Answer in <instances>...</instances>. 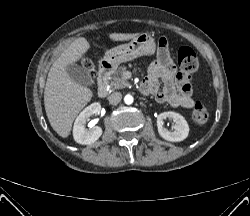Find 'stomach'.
<instances>
[{"label": "stomach", "instance_id": "1", "mask_svg": "<svg viewBox=\"0 0 250 216\" xmlns=\"http://www.w3.org/2000/svg\"><path fill=\"white\" fill-rule=\"evenodd\" d=\"M156 50L154 39L147 33L140 34L129 43L108 50L103 61L109 67L116 68L119 64L141 56H152Z\"/></svg>", "mask_w": 250, "mask_h": 216}]
</instances>
